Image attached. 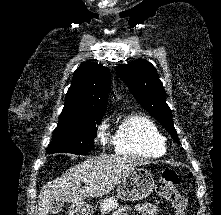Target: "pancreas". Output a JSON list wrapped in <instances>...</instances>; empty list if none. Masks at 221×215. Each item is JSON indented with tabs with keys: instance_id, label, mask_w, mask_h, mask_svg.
I'll return each instance as SVG.
<instances>
[{
	"instance_id": "obj_1",
	"label": "pancreas",
	"mask_w": 221,
	"mask_h": 215,
	"mask_svg": "<svg viewBox=\"0 0 221 215\" xmlns=\"http://www.w3.org/2000/svg\"><path fill=\"white\" fill-rule=\"evenodd\" d=\"M118 206L119 204L117 203V199L114 197H109L100 203V211L102 214H104L105 212L117 208Z\"/></svg>"
}]
</instances>
